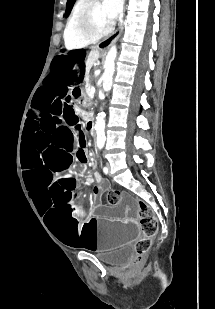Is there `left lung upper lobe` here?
<instances>
[{"label":"left lung upper lobe","instance_id":"5c2ea615","mask_svg":"<svg viewBox=\"0 0 215 309\" xmlns=\"http://www.w3.org/2000/svg\"><path fill=\"white\" fill-rule=\"evenodd\" d=\"M74 1L75 0H68L65 16L68 15V12L70 11Z\"/></svg>","mask_w":215,"mask_h":309}]
</instances>
